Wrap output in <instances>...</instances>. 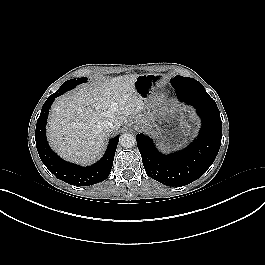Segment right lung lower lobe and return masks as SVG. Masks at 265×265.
Here are the masks:
<instances>
[{"label":"right lung lower lobe","instance_id":"1","mask_svg":"<svg viewBox=\"0 0 265 265\" xmlns=\"http://www.w3.org/2000/svg\"><path fill=\"white\" fill-rule=\"evenodd\" d=\"M58 95L52 94L44 103L37 120L35 140L39 156L43 164L58 179L76 186H90L104 181L110 174L119 137L109 141L104 156L95 164L81 167L62 160L48 145L46 140V122L51 104Z\"/></svg>","mask_w":265,"mask_h":265}]
</instances>
